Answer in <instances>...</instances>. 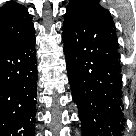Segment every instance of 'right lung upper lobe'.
<instances>
[{"instance_id": "obj_1", "label": "right lung upper lobe", "mask_w": 136, "mask_h": 136, "mask_svg": "<svg viewBox=\"0 0 136 136\" xmlns=\"http://www.w3.org/2000/svg\"><path fill=\"white\" fill-rule=\"evenodd\" d=\"M33 30L28 10L23 5L8 2L0 8V47L26 40Z\"/></svg>"}]
</instances>
